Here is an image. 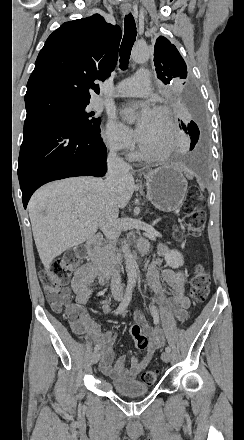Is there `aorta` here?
I'll return each mask as SVG.
<instances>
[{"mask_svg": "<svg viewBox=\"0 0 244 440\" xmlns=\"http://www.w3.org/2000/svg\"><path fill=\"white\" fill-rule=\"evenodd\" d=\"M151 51L146 47H136L132 52V57L136 62H145L150 58ZM124 117L127 121L131 122L135 118L133 109H126ZM122 250L125 258L126 272H127V284L134 286L136 284L137 272L134 257L131 253L129 244L126 240L122 243Z\"/></svg>", "mask_w": 244, "mask_h": 440, "instance_id": "aorta-1", "label": "aorta"}]
</instances>
